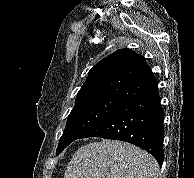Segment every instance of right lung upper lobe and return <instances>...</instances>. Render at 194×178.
Here are the masks:
<instances>
[{"label": "right lung upper lobe", "mask_w": 194, "mask_h": 178, "mask_svg": "<svg viewBox=\"0 0 194 178\" xmlns=\"http://www.w3.org/2000/svg\"><path fill=\"white\" fill-rule=\"evenodd\" d=\"M156 90L158 82L144 57L130 49H120L90 70L76 101L104 98L125 103Z\"/></svg>", "instance_id": "right-lung-upper-lobe-1"}]
</instances>
